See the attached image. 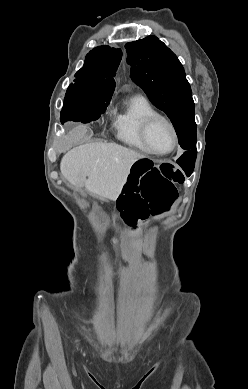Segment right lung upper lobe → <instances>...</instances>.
<instances>
[{
  "label": "right lung upper lobe",
  "mask_w": 248,
  "mask_h": 389,
  "mask_svg": "<svg viewBox=\"0 0 248 389\" xmlns=\"http://www.w3.org/2000/svg\"><path fill=\"white\" fill-rule=\"evenodd\" d=\"M121 57V49L106 45L96 47L87 54L83 68L75 74V80L82 81L89 89L113 92L114 76Z\"/></svg>",
  "instance_id": "right-lung-upper-lobe-1"
}]
</instances>
